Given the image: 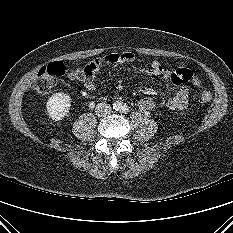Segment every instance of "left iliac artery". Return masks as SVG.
<instances>
[{
  "mask_svg": "<svg viewBox=\"0 0 233 233\" xmlns=\"http://www.w3.org/2000/svg\"><path fill=\"white\" fill-rule=\"evenodd\" d=\"M121 112L128 113L129 112V108L126 105H124V106L121 107Z\"/></svg>",
  "mask_w": 233,
  "mask_h": 233,
  "instance_id": "left-iliac-artery-1",
  "label": "left iliac artery"
}]
</instances>
